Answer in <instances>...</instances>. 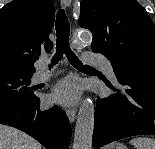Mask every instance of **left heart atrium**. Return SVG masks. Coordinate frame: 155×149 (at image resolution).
Returning <instances> with one entry per match:
<instances>
[{
	"label": "left heart atrium",
	"instance_id": "left-heart-atrium-1",
	"mask_svg": "<svg viewBox=\"0 0 155 149\" xmlns=\"http://www.w3.org/2000/svg\"><path fill=\"white\" fill-rule=\"evenodd\" d=\"M80 94V84L77 80L68 78L55 88L51 98L61 104H73Z\"/></svg>",
	"mask_w": 155,
	"mask_h": 149
}]
</instances>
